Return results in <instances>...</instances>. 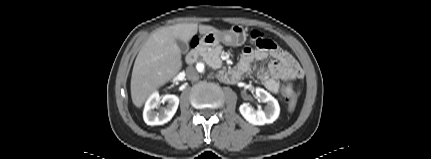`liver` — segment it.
Masks as SVG:
<instances>
[{
  "label": "liver",
  "mask_w": 431,
  "mask_h": 159,
  "mask_svg": "<svg viewBox=\"0 0 431 159\" xmlns=\"http://www.w3.org/2000/svg\"><path fill=\"white\" fill-rule=\"evenodd\" d=\"M197 31L206 35L219 30L210 25L176 24L158 29L148 38L136 57L131 77V98L137 108L178 74L182 60L176 40L187 43Z\"/></svg>",
  "instance_id": "6515ba94"
}]
</instances>
